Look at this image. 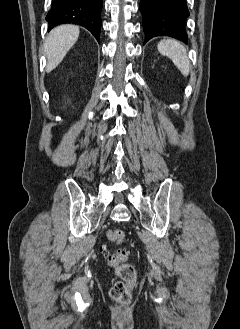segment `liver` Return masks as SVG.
Segmentation results:
<instances>
[{"instance_id": "obj_1", "label": "liver", "mask_w": 240, "mask_h": 329, "mask_svg": "<svg viewBox=\"0 0 240 329\" xmlns=\"http://www.w3.org/2000/svg\"><path fill=\"white\" fill-rule=\"evenodd\" d=\"M79 33V27L75 25H61L51 30L44 43L47 57L46 72H51L61 63L78 40Z\"/></svg>"}]
</instances>
